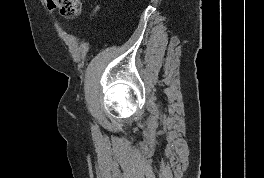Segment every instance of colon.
Returning <instances> with one entry per match:
<instances>
[{"instance_id": "obj_1", "label": "colon", "mask_w": 264, "mask_h": 178, "mask_svg": "<svg viewBox=\"0 0 264 178\" xmlns=\"http://www.w3.org/2000/svg\"><path fill=\"white\" fill-rule=\"evenodd\" d=\"M48 4L57 8L60 14L66 18L77 17L81 13V0H48Z\"/></svg>"}]
</instances>
